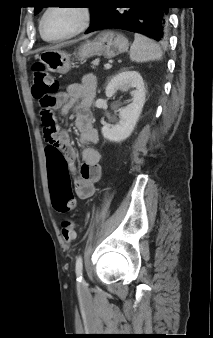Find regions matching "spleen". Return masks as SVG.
I'll return each mask as SVG.
<instances>
[{
    "instance_id": "obj_1",
    "label": "spleen",
    "mask_w": 213,
    "mask_h": 338,
    "mask_svg": "<svg viewBox=\"0 0 213 338\" xmlns=\"http://www.w3.org/2000/svg\"><path fill=\"white\" fill-rule=\"evenodd\" d=\"M163 53L153 40L136 33L134 42L130 48V59L133 62L143 63L148 61H159Z\"/></svg>"
}]
</instances>
